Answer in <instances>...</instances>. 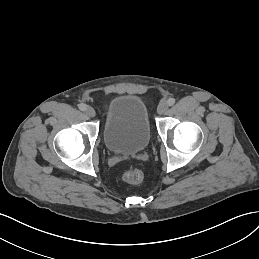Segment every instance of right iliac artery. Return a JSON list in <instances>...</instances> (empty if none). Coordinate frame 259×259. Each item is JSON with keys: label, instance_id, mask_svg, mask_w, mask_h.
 I'll use <instances>...</instances> for the list:
<instances>
[{"label": "right iliac artery", "instance_id": "82829eb1", "mask_svg": "<svg viewBox=\"0 0 259 259\" xmlns=\"http://www.w3.org/2000/svg\"><path fill=\"white\" fill-rule=\"evenodd\" d=\"M78 107H79V109H80L81 111H85L86 108H87L86 104H84V103L79 104Z\"/></svg>", "mask_w": 259, "mask_h": 259}]
</instances>
